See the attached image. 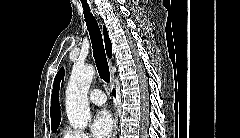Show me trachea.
<instances>
[{"instance_id": "1", "label": "trachea", "mask_w": 240, "mask_h": 138, "mask_svg": "<svg viewBox=\"0 0 240 138\" xmlns=\"http://www.w3.org/2000/svg\"><path fill=\"white\" fill-rule=\"evenodd\" d=\"M83 9L87 30L89 31L92 43L93 56L99 76L104 82L108 83L110 82V71L105 54L101 31L99 29L97 21L95 20V17L90 12L89 6L83 5Z\"/></svg>"}]
</instances>
